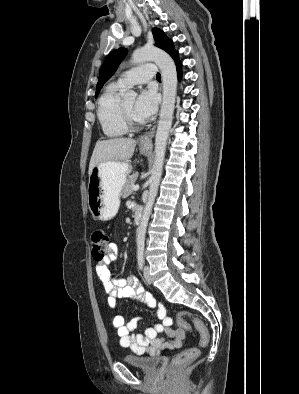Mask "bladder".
Returning <instances> with one entry per match:
<instances>
[{"label":"bladder","instance_id":"obj_1","mask_svg":"<svg viewBox=\"0 0 299 394\" xmlns=\"http://www.w3.org/2000/svg\"><path fill=\"white\" fill-rule=\"evenodd\" d=\"M123 361L143 372L150 373L155 371L160 365L161 359L156 356L125 355Z\"/></svg>","mask_w":299,"mask_h":394}]
</instances>
